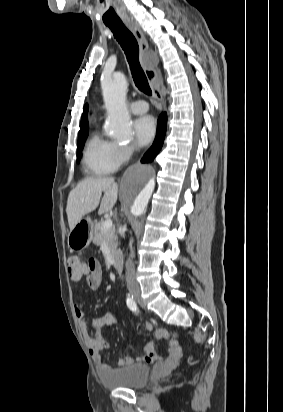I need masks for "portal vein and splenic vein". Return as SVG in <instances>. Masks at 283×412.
<instances>
[{
    "label": "portal vein and splenic vein",
    "mask_w": 283,
    "mask_h": 412,
    "mask_svg": "<svg viewBox=\"0 0 283 412\" xmlns=\"http://www.w3.org/2000/svg\"><path fill=\"white\" fill-rule=\"evenodd\" d=\"M112 226H113L112 220L111 219H106L104 221L103 225H102V229L106 231V230L110 229Z\"/></svg>",
    "instance_id": "portal-vein-and-splenic-vein-1"
}]
</instances>
